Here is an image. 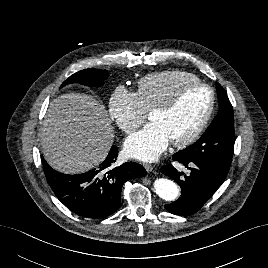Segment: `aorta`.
<instances>
[{
	"label": "aorta",
	"instance_id": "obj_1",
	"mask_svg": "<svg viewBox=\"0 0 268 268\" xmlns=\"http://www.w3.org/2000/svg\"><path fill=\"white\" fill-rule=\"evenodd\" d=\"M154 189L160 198L173 201L179 195V187L171 180L159 178L154 181Z\"/></svg>",
	"mask_w": 268,
	"mask_h": 268
}]
</instances>
